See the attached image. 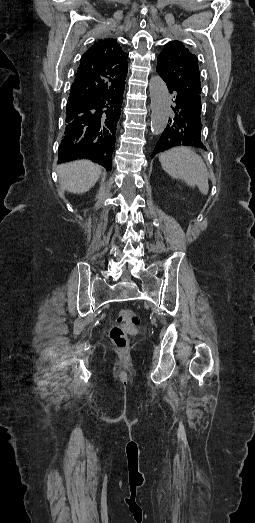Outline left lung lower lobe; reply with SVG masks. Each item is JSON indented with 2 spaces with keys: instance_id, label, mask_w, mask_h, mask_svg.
I'll list each match as a JSON object with an SVG mask.
<instances>
[{
  "instance_id": "0a47b994",
  "label": "left lung lower lobe",
  "mask_w": 255,
  "mask_h": 523,
  "mask_svg": "<svg viewBox=\"0 0 255 523\" xmlns=\"http://www.w3.org/2000/svg\"><path fill=\"white\" fill-rule=\"evenodd\" d=\"M167 94H173L172 110L174 114L168 115V126L161 130V137L156 140V145L151 149L149 158H154V154H161L166 148H190L196 145V149L204 150L206 145L202 143L200 128L202 121L200 116L195 114V107L191 103L182 101V94L167 86Z\"/></svg>"
}]
</instances>
